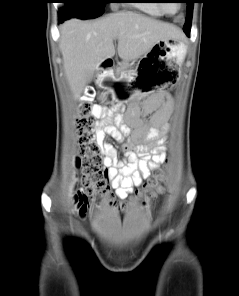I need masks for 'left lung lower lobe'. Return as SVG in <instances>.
<instances>
[{
  "mask_svg": "<svg viewBox=\"0 0 239 296\" xmlns=\"http://www.w3.org/2000/svg\"><path fill=\"white\" fill-rule=\"evenodd\" d=\"M183 30H184V32L186 33V35H187L188 37H190V29H189V28H185V27H183Z\"/></svg>",
  "mask_w": 239,
  "mask_h": 296,
  "instance_id": "left-lung-lower-lobe-1",
  "label": "left lung lower lobe"
}]
</instances>
